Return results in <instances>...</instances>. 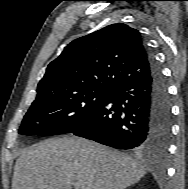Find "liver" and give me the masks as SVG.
<instances>
[{"instance_id":"1","label":"liver","mask_w":188,"mask_h":189,"mask_svg":"<svg viewBox=\"0 0 188 189\" xmlns=\"http://www.w3.org/2000/svg\"><path fill=\"white\" fill-rule=\"evenodd\" d=\"M131 157L77 137L44 140L16 160L12 189H125L146 174Z\"/></svg>"}]
</instances>
